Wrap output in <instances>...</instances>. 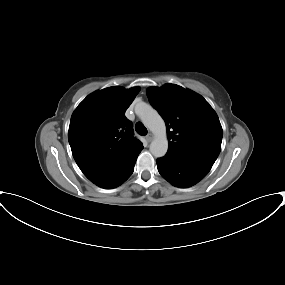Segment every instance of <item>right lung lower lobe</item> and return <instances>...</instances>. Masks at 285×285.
Wrapping results in <instances>:
<instances>
[{
  "mask_svg": "<svg viewBox=\"0 0 285 285\" xmlns=\"http://www.w3.org/2000/svg\"><path fill=\"white\" fill-rule=\"evenodd\" d=\"M140 152L141 151L133 155L128 161L122 164L120 168H118L115 172H113L107 178L95 184L98 185L99 187L106 188V189L114 188L122 184L133 173L134 165H135L136 159Z\"/></svg>",
  "mask_w": 285,
  "mask_h": 285,
  "instance_id": "98d812e1",
  "label": "right lung lower lobe"
}]
</instances>
